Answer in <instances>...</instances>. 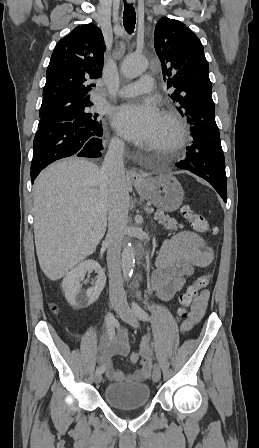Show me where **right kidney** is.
Here are the masks:
<instances>
[{
    "label": "right kidney",
    "mask_w": 259,
    "mask_h": 448,
    "mask_svg": "<svg viewBox=\"0 0 259 448\" xmlns=\"http://www.w3.org/2000/svg\"><path fill=\"white\" fill-rule=\"evenodd\" d=\"M95 270L96 282L93 288H89L86 292L80 290V280L84 278L86 272H92ZM106 276L104 270H102L100 264L95 260H85L78 264L76 268H73L71 272L66 274L62 288L65 292V298L68 304H71L73 308H88L90 304H94L98 300L103 288H105Z\"/></svg>",
    "instance_id": "obj_1"
}]
</instances>
